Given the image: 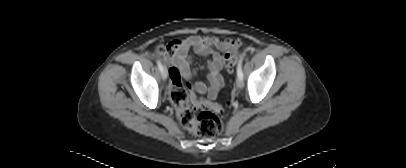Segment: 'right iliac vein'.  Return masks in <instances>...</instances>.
<instances>
[{"label": "right iliac vein", "instance_id": "obj_1", "mask_svg": "<svg viewBox=\"0 0 406 168\" xmlns=\"http://www.w3.org/2000/svg\"><path fill=\"white\" fill-rule=\"evenodd\" d=\"M161 76H162V79H163V80H166V79H167L168 74H167V69H166V67H163V70L161 71Z\"/></svg>", "mask_w": 406, "mask_h": 168}]
</instances>
